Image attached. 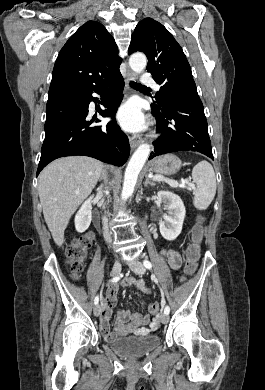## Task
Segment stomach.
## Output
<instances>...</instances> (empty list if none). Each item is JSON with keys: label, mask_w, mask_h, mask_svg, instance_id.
<instances>
[{"label": "stomach", "mask_w": 265, "mask_h": 390, "mask_svg": "<svg viewBox=\"0 0 265 390\" xmlns=\"http://www.w3.org/2000/svg\"><path fill=\"white\" fill-rule=\"evenodd\" d=\"M150 166L151 170L157 174L171 176L180 170L181 161L173 154H166L152 160Z\"/></svg>", "instance_id": "1"}]
</instances>
